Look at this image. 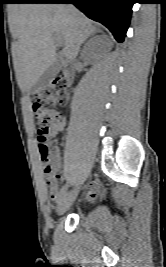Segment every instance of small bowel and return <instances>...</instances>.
<instances>
[{
    "label": "small bowel",
    "instance_id": "1",
    "mask_svg": "<svg viewBox=\"0 0 166 267\" xmlns=\"http://www.w3.org/2000/svg\"><path fill=\"white\" fill-rule=\"evenodd\" d=\"M64 127V121L60 120L57 123L53 124L52 128H51V136L55 137L57 136ZM53 166H54V174L51 177H47L45 175L46 178V183L49 187V195L50 198L52 199H56L58 198V183H57V175L56 172L60 167V155L58 151L54 152V157H53ZM101 192V185L98 182L92 183L90 184L87 188H86V198L88 200L94 199L99 193Z\"/></svg>",
    "mask_w": 166,
    "mask_h": 267
}]
</instances>
